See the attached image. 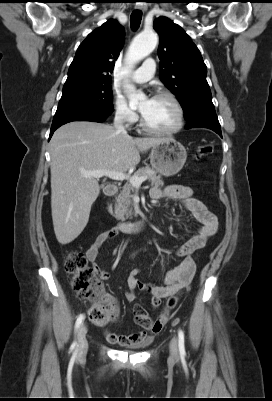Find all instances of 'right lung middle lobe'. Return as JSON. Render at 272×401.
Masks as SVG:
<instances>
[{
	"label": "right lung middle lobe",
	"instance_id": "obj_1",
	"mask_svg": "<svg viewBox=\"0 0 272 401\" xmlns=\"http://www.w3.org/2000/svg\"><path fill=\"white\" fill-rule=\"evenodd\" d=\"M111 82L63 90L53 122L78 114L109 116L113 112Z\"/></svg>",
	"mask_w": 272,
	"mask_h": 401
}]
</instances>
